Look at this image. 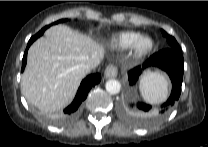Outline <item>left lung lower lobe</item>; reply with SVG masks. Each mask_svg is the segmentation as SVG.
Listing matches in <instances>:
<instances>
[{
    "label": "left lung lower lobe",
    "instance_id": "0a47b994",
    "mask_svg": "<svg viewBox=\"0 0 208 147\" xmlns=\"http://www.w3.org/2000/svg\"><path fill=\"white\" fill-rule=\"evenodd\" d=\"M150 66H156L165 71L172 82V92L169 99L161 106L160 113H165L172 107L175 102L179 99L181 94V85L183 80L184 72V59L182 56V51L176 50L173 48H166L161 50L154 55H152L142 66L136 67L128 72V79L130 84L133 85L139 75L142 72V69H145ZM137 108L143 111H148L151 106L144 103H138ZM130 111L127 109L124 110L125 115H130Z\"/></svg>",
    "mask_w": 208,
    "mask_h": 147
}]
</instances>
